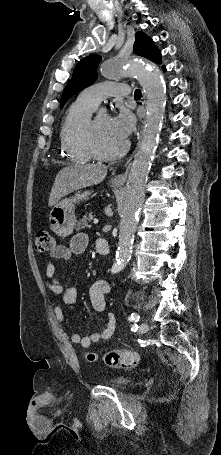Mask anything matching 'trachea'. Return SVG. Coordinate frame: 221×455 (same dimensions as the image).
Here are the masks:
<instances>
[{
  "mask_svg": "<svg viewBox=\"0 0 221 455\" xmlns=\"http://www.w3.org/2000/svg\"><path fill=\"white\" fill-rule=\"evenodd\" d=\"M134 96L141 97V91L139 89L135 90Z\"/></svg>",
  "mask_w": 221,
  "mask_h": 455,
  "instance_id": "1",
  "label": "trachea"
}]
</instances>
